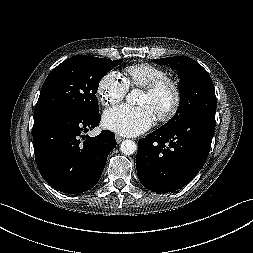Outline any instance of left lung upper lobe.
Instances as JSON below:
<instances>
[{
    "label": "left lung upper lobe",
    "mask_w": 253,
    "mask_h": 253,
    "mask_svg": "<svg viewBox=\"0 0 253 253\" xmlns=\"http://www.w3.org/2000/svg\"><path fill=\"white\" fill-rule=\"evenodd\" d=\"M159 64H169L172 69L178 71L180 104L176 114L162 130H170L177 127L183 121L201 114L215 115L217 102L215 89L207 71L196 61L189 57H167L155 60Z\"/></svg>",
    "instance_id": "obj_1"
}]
</instances>
